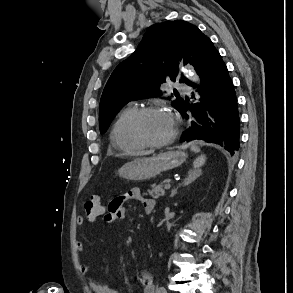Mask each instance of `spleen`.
Instances as JSON below:
<instances>
[{
    "label": "spleen",
    "mask_w": 293,
    "mask_h": 293,
    "mask_svg": "<svg viewBox=\"0 0 293 293\" xmlns=\"http://www.w3.org/2000/svg\"><path fill=\"white\" fill-rule=\"evenodd\" d=\"M191 150L194 152H199L200 149L193 143L191 144ZM206 161V157L205 155H201L198 158H196V160L193 163V166L195 169H199L201 166H203L205 164Z\"/></svg>",
    "instance_id": "obj_1"
}]
</instances>
